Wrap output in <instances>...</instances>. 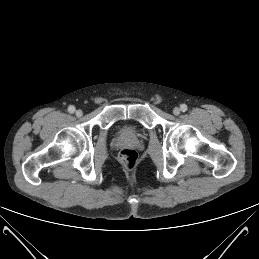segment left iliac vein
Segmentation results:
<instances>
[{
	"mask_svg": "<svg viewBox=\"0 0 259 259\" xmlns=\"http://www.w3.org/2000/svg\"><path fill=\"white\" fill-rule=\"evenodd\" d=\"M173 114H174V115H179V114H180V109L177 108V107L174 108V109H173Z\"/></svg>",
	"mask_w": 259,
	"mask_h": 259,
	"instance_id": "obj_1",
	"label": "left iliac vein"
}]
</instances>
